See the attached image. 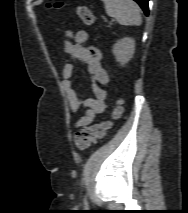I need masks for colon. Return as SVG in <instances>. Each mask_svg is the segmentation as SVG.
Returning a JSON list of instances; mask_svg holds the SVG:
<instances>
[{
    "instance_id": "1",
    "label": "colon",
    "mask_w": 188,
    "mask_h": 213,
    "mask_svg": "<svg viewBox=\"0 0 188 213\" xmlns=\"http://www.w3.org/2000/svg\"><path fill=\"white\" fill-rule=\"evenodd\" d=\"M63 6L61 1L49 3V8H60ZM75 11L83 23L92 25L95 21V16L87 6H77ZM122 113V99H117L111 113V119L118 118ZM111 120H104L90 126H86L78 130L75 134V145L80 149L88 148L96 140L102 138L106 131L111 127Z\"/></svg>"
}]
</instances>
